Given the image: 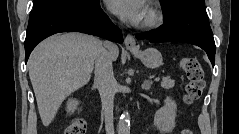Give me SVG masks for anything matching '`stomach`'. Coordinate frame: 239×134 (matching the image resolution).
Masks as SVG:
<instances>
[{"label":"stomach","mask_w":239,"mask_h":134,"mask_svg":"<svg viewBox=\"0 0 239 134\" xmlns=\"http://www.w3.org/2000/svg\"><path fill=\"white\" fill-rule=\"evenodd\" d=\"M130 50L147 68L154 69L162 65V55L155 48H148L144 51H140L139 49Z\"/></svg>","instance_id":"obj_1"}]
</instances>
